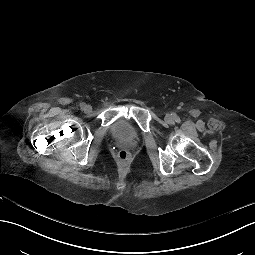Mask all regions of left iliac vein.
Returning <instances> with one entry per match:
<instances>
[{"label": "left iliac vein", "mask_w": 255, "mask_h": 255, "mask_svg": "<svg viewBox=\"0 0 255 255\" xmlns=\"http://www.w3.org/2000/svg\"><path fill=\"white\" fill-rule=\"evenodd\" d=\"M165 121L168 123V124H172L174 122V117L172 114H167L165 116Z\"/></svg>", "instance_id": "1"}]
</instances>
